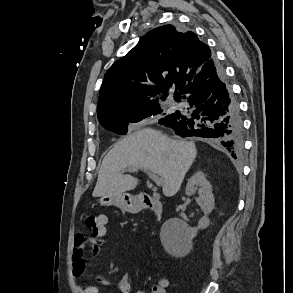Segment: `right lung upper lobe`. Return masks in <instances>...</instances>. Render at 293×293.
<instances>
[{
  "label": "right lung upper lobe",
  "mask_w": 293,
  "mask_h": 293,
  "mask_svg": "<svg viewBox=\"0 0 293 293\" xmlns=\"http://www.w3.org/2000/svg\"><path fill=\"white\" fill-rule=\"evenodd\" d=\"M213 59L194 32L173 25L149 31L128 54L113 64L99 91L97 116L148 108L175 91V98Z\"/></svg>",
  "instance_id": "obj_1"
}]
</instances>
